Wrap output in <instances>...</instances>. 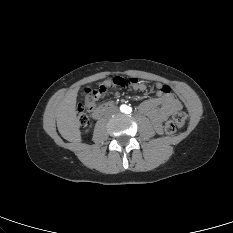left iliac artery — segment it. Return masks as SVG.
<instances>
[{"instance_id":"obj_1","label":"left iliac artery","mask_w":233,"mask_h":233,"mask_svg":"<svg viewBox=\"0 0 233 233\" xmlns=\"http://www.w3.org/2000/svg\"><path fill=\"white\" fill-rule=\"evenodd\" d=\"M127 112H128V113H131V112H132V109L129 107V108L127 109Z\"/></svg>"}]
</instances>
